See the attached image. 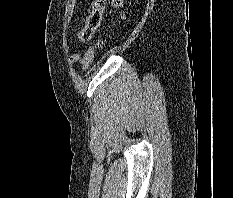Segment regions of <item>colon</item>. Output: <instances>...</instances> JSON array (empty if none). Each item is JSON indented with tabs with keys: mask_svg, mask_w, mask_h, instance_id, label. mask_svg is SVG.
Returning a JSON list of instances; mask_svg holds the SVG:
<instances>
[{
	"mask_svg": "<svg viewBox=\"0 0 233 198\" xmlns=\"http://www.w3.org/2000/svg\"><path fill=\"white\" fill-rule=\"evenodd\" d=\"M114 7L119 10V17L118 19H122L124 17V1L123 0H111ZM106 0H93L92 1V10L86 20V25L81 28L77 32V37L82 40H88L93 32L99 27L101 19H102V11L104 9ZM102 44V38L99 37L97 40L94 41L92 46L89 48L87 53L84 55L82 60V67L83 69H87L93 63V60L96 55L97 49Z\"/></svg>",
	"mask_w": 233,
	"mask_h": 198,
	"instance_id": "1",
	"label": "colon"
}]
</instances>
